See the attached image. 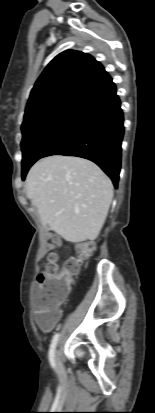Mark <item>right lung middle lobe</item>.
Masks as SVG:
<instances>
[{
	"label": "right lung middle lobe",
	"instance_id": "1",
	"mask_svg": "<svg viewBox=\"0 0 155 413\" xmlns=\"http://www.w3.org/2000/svg\"><path fill=\"white\" fill-rule=\"evenodd\" d=\"M79 104L52 109L22 125V178L46 150L59 138Z\"/></svg>",
	"mask_w": 155,
	"mask_h": 413
}]
</instances>
